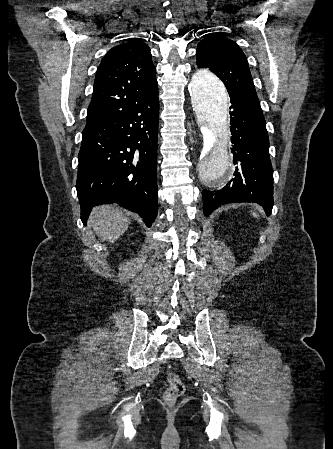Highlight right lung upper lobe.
<instances>
[{
    "mask_svg": "<svg viewBox=\"0 0 333 449\" xmlns=\"http://www.w3.org/2000/svg\"><path fill=\"white\" fill-rule=\"evenodd\" d=\"M147 44L131 38L113 47L96 73L87 124L109 118L158 90Z\"/></svg>",
    "mask_w": 333,
    "mask_h": 449,
    "instance_id": "right-lung-upper-lobe-1",
    "label": "right lung upper lobe"
}]
</instances>
